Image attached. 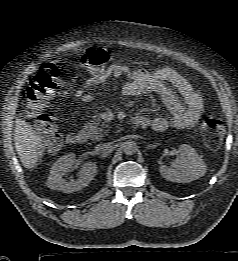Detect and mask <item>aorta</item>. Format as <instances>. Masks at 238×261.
Here are the masks:
<instances>
[{
	"mask_svg": "<svg viewBox=\"0 0 238 261\" xmlns=\"http://www.w3.org/2000/svg\"><path fill=\"white\" fill-rule=\"evenodd\" d=\"M122 149L126 155H133L137 152L138 147H137V144L135 141L128 140V141L124 142Z\"/></svg>",
	"mask_w": 238,
	"mask_h": 261,
	"instance_id": "762f6f07",
	"label": "aorta"
}]
</instances>
